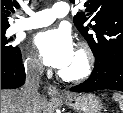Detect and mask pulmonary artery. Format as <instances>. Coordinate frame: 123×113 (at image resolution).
I'll return each mask as SVG.
<instances>
[{
  "label": "pulmonary artery",
  "mask_w": 123,
  "mask_h": 113,
  "mask_svg": "<svg viewBox=\"0 0 123 113\" xmlns=\"http://www.w3.org/2000/svg\"><path fill=\"white\" fill-rule=\"evenodd\" d=\"M28 18L18 21L15 29L28 30L47 26L56 18H62L69 12L68 4L65 2H57L50 9L34 12L30 9L26 10Z\"/></svg>",
  "instance_id": "obj_1"
}]
</instances>
